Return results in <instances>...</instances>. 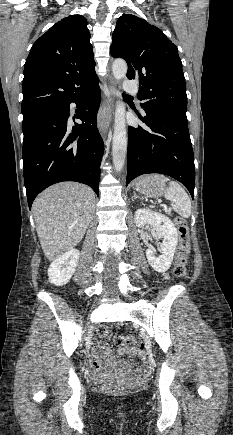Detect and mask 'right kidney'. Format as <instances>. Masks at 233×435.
I'll return each mask as SVG.
<instances>
[{"mask_svg": "<svg viewBox=\"0 0 233 435\" xmlns=\"http://www.w3.org/2000/svg\"><path fill=\"white\" fill-rule=\"evenodd\" d=\"M79 257V250L72 249L55 259L48 268L49 282L56 286L67 284L76 270Z\"/></svg>", "mask_w": 233, "mask_h": 435, "instance_id": "ca27d5eb", "label": "right kidney"}]
</instances>
